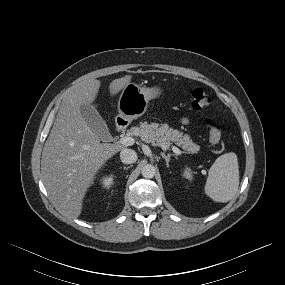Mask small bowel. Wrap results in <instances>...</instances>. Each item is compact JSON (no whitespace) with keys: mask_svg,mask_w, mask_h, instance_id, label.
<instances>
[{"mask_svg":"<svg viewBox=\"0 0 285 285\" xmlns=\"http://www.w3.org/2000/svg\"><path fill=\"white\" fill-rule=\"evenodd\" d=\"M182 121H183V123H187L188 119L187 118H183Z\"/></svg>","mask_w":285,"mask_h":285,"instance_id":"small-bowel-1","label":"small bowel"}]
</instances>
